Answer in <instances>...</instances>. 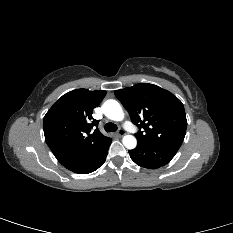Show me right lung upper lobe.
<instances>
[{"label":"right lung upper lobe","instance_id":"right-lung-upper-lobe-1","mask_svg":"<svg viewBox=\"0 0 233 233\" xmlns=\"http://www.w3.org/2000/svg\"><path fill=\"white\" fill-rule=\"evenodd\" d=\"M106 91L77 89L64 94L44 117L45 140L57 160L76 172L108 141L98 128L92 111Z\"/></svg>","mask_w":233,"mask_h":233}]
</instances>
